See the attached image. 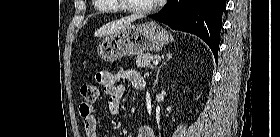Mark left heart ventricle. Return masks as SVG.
<instances>
[{
	"label": "left heart ventricle",
	"mask_w": 280,
	"mask_h": 137,
	"mask_svg": "<svg viewBox=\"0 0 280 137\" xmlns=\"http://www.w3.org/2000/svg\"><path fill=\"white\" fill-rule=\"evenodd\" d=\"M128 3L133 6V7H137V8H145L148 6H151L152 4L155 3V0H127ZM149 27H160V26H149Z\"/></svg>",
	"instance_id": "obj_1"
}]
</instances>
